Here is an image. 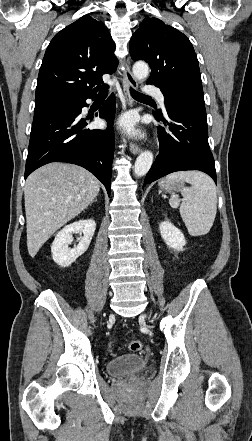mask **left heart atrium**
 Here are the masks:
<instances>
[{
    "instance_id": "obj_1",
    "label": "left heart atrium",
    "mask_w": 252,
    "mask_h": 441,
    "mask_svg": "<svg viewBox=\"0 0 252 441\" xmlns=\"http://www.w3.org/2000/svg\"><path fill=\"white\" fill-rule=\"evenodd\" d=\"M120 124L130 134L136 133V118L133 114H126L125 116H123L120 120Z\"/></svg>"
}]
</instances>
